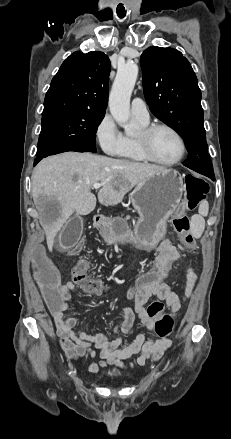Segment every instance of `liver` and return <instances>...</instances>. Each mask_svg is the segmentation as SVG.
Here are the masks:
<instances>
[{"instance_id": "1", "label": "liver", "mask_w": 231, "mask_h": 439, "mask_svg": "<svg viewBox=\"0 0 231 439\" xmlns=\"http://www.w3.org/2000/svg\"><path fill=\"white\" fill-rule=\"evenodd\" d=\"M163 170L91 153L66 152L43 159L32 174V195L49 251L74 212L87 215L95 209L94 183L102 184L99 202L115 206L135 185Z\"/></svg>"}]
</instances>
